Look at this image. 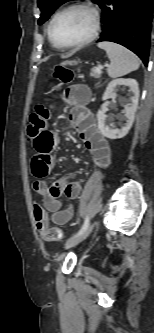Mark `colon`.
<instances>
[{
  "instance_id": "5ec220e1",
  "label": "colon",
  "mask_w": 154,
  "mask_h": 333,
  "mask_svg": "<svg viewBox=\"0 0 154 333\" xmlns=\"http://www.w3.org/2000/svg\"><path fill=\"white\" fill-rule=\"evenodd\" d=\"M54 76L60 83H69L73 79V72L66 67L58 66L55 69ZM54 87L58 88L59 84ZM50 115L51 106L39 104L35 107L29 117L27 127V138L29 140L33 141L46 128ZM33 213L36 227L45 240L57 241L62 238L63 232L60 228L49 226L47 213L42 206L35 205Z\"/></svg>"
}]
</instances>
